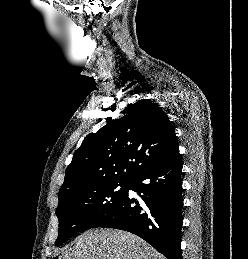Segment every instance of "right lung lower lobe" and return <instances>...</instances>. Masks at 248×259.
<instances>
[{
    "instance_id": "right-lung-lower-lobe-1",
    "label": "right lung lower lobe",
    "mask_w": 248,
    "mask_h": 259,
    "mask_svg": "<svg viewBox=\"0 0 248 259\" xmlns=\"http://www.w3.org/2000/svg\"><path fill=\"white\" fill-rule=\"evenodd\" d=\"M182 162L180 155L140 172L130 180L128 191L112 216L98 227L125 230L147 241L168 259H182Z\"/></svg>"
}]
</instances>
